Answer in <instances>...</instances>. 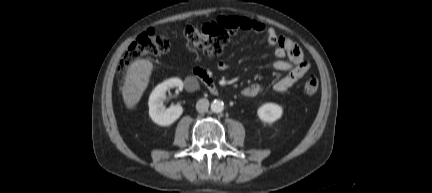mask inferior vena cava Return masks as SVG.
Instances as JSON below:
<instances>
[{
  "label": "inferior vena cava",
  "mask_w": 432,
  "mask_h": 193,
  "mask_svg": "<svg viewBox=\"0 0 432 193\" xmlns=\"http://www.w3.org/2000/svg\"><path fill=\"white\" fill-rule=\"evenodd\" d=\"M208 107H209V101H208V99H205V98L199 99L197 101V103H196V110L199 113L206 112L208 110Z\"/></svg>",
  "instance_id": "obj_1"
}]
</instances>
